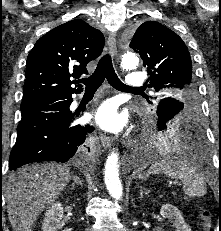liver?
<instances>
[{
	"mask_svg": "<svg viewBox=\"0 0 221 231\" xmlns=\"http://www.w3.org/2000/svg\"><path fill=\"white\" fill-rule=\"evenodd\" d=\"M72 176L68 165L33 164L11 174L4 184L14 231H32L39 214L54 203Z\"/></svg>",
	"mask_w": 221,
	"mask_h": 231,
	"instance_id": "6515ba94",
	"label": "liver"
}]
</instances>
